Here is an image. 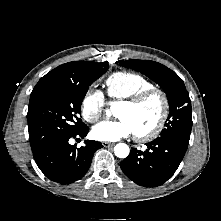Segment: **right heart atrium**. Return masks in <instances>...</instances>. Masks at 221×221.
Returning a JSON list of instances; mask_svg holds the SVG:
<instances>
[{
  "label": "right heart atrium",
  "mask_w": 221,
  "mask_h": 221,
  "mask_svg": "<svg viewBox=\"0 0 221 221\" xmlns=\"http://www.w3.org/2000/svg\"><path fill=\"white\" fill-rule=\"evenodd\" d=\"M106 107V100L102 91L89 89L83 96L80 111L83 119L89 123L97 122Z\"/></svg>",
  "instance_id": "1"
}]
</instances>
